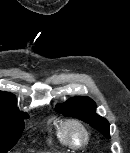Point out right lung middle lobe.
Returning <instances> with one entry per match:
<instances>
[{"mask_svg": "<svg viewBox=\"0 0 130 153\" xmlns=\"http://www.w3.org/2000/svg\"><path fill=\"white\" fill-rule=\"evenodd\" d=\"M27 114L21 112L0 113V153H7L15 146L24 129V119Z\"/></svg>", "mask_w": 130, "mask_h": 153, "instance_id": "obj_1", "label": "right lung middle lobe"}]
</instances>
